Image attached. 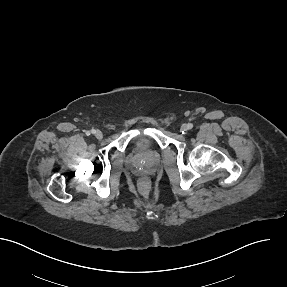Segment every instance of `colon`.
I'll list each match as a JSON object with an SVG mask.
<instances>
[{
  "instance_id": "colon-1",
  "label": "colon",
  "mask_w": 287,
  "mask_h": 287,
  "mask_svg": "<svg viewBox=\"0 0 287 287\" xmlns=\"http://www.w3.org/2000/svg\"><path fill=\"white\" fill-rule=\"evenodd\" d=\"M138 191L141 195H147L150 191V180L147 177H141L138 180Z\"/></svg>"
}]
</instances>
